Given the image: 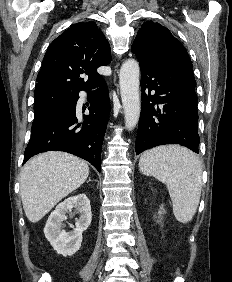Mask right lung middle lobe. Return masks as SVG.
I'll return each instance as SVG.
<instances>
[{
	"mask_svg": "<svg viewBox=\"0 0 232 282\" xmlns=\"http://www.w3.org/2000/svg\"><path fill=\"white\" fill-rule=\"evenodd\" d=\"M34 121L38 122L67 105L73 95L58 91L35 92Z\"/></svg>",
	"mask_w": 232,
	"mask_h": 282,
	"instance_id": "1",
	"label": "right lung middle lobe"
}]
</instances>
